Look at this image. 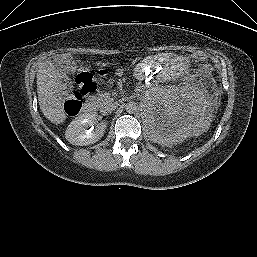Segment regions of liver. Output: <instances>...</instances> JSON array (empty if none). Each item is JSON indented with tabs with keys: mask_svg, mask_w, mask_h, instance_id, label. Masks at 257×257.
<instances>
[{
	"mask_svg": "<svg viewBox=\"0 0 257 257\" xmlns=\"http://www.w3.org/2000/svg\"><path fill=\"white\" fill-rule=\"evenodd\" d=\"M97 65H104L98 62ZM60 73L51 60L41 63L37 73V93L43 115L52 123L60 124L66 119L62 108Z\"/></svg>",
	"mask_w": 257,
	"mask_h": 257,
	"instance_id": "1",
	"label": "liver"
}]
</instances>
